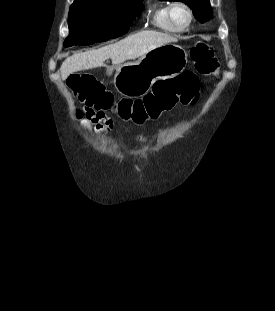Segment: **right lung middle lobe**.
<instances>
[{
    "label": "right lung middle lobe",
    "mask_w": 275,
    "mask_h": 311,
    "mask_svg": "<svg viewBox=\"0 0 275 311\" xmlns=\"http://www.w3.org/2000/svg\"><path fill=\"white\" fill-rule=\"evenodd\" d=\"M143 0L74 2L69 11V36L64 46L88 45L123 35L143 9Z\"/></svg>",
    "instance_id": "1"
}]
</instances>
